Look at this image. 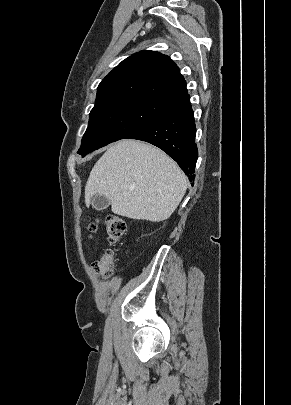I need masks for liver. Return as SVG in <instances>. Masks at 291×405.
I'll list each match as a JSON object with an SVG mask.
<instances>
[{"label": "liver", "instance_id": "6515ba94", "mask_svg": "<svg viewBox=\"0 0 291 405\" xmlns=\"http://www.w3.org/2000/svg\"><path fill=\"white\" fill-rule=\"evenodd\" d=\"M187 179L162 150L131 139L111 145L96 162L85 186L89 207L106 197L114 214L138 220L168 219L181 202Z\"/></svg>", "mask_w": 291, "mask_h": 405}]
</instances>
